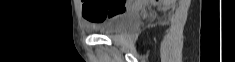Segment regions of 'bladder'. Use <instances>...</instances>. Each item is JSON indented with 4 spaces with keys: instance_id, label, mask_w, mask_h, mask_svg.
Listing matches in <instances>:
<instances>
[{
    "instance_id": "1",
    "label": "bladder",
    "mask_w": 235,
    "mask_h": 62,
    "mask_svg": "<svg viewBox=\"0 0 235 62\" xmlns=\"http://www.w3.org/2000/svg\"><path fill=\"white\" fill-rule=\"evenodd\" d=\"M140 13L135 7L113 16L99 27L98 31L106 36H114L135 28L140 23Z\"/></svg>"
}]
</instances>
